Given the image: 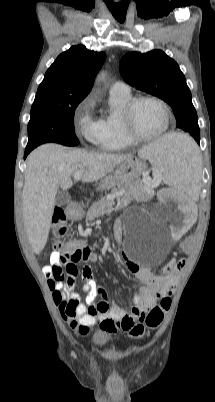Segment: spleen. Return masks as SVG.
I'll use <instances>...</instances> for the list:
<instances>
[{
	"instance_id": "1",
	"label": "spleen",
	"mask_w": 215,
	"mask_h": 402,
	"mask_svg": "<svg viewBox=\"0 0 215 402\" xmlns=\"http://www.w3.org/2000/svg\"><path fill=\"white\" fill-rule=\"evenodd\" d=\"M156 173L180 193H196L200 187L198 152L192 133L167 134L139 151Z\"/></svg>"
}]
</instances>
